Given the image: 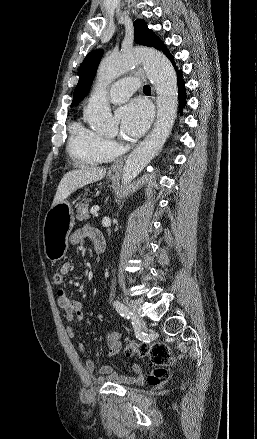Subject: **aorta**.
I'll return each instance as SVG.
<instances>
[{"label":"aorta","instance_id":"762f6f07","mask_svg":"<svg viewBox=\"0 0 257 439\" xmlns=\"http://www.w3.org/2000/svg\"><path fill=\"white\" fill-rule=\"evenodd\" d=\"M138 63L144 65L157 93V116L151 133L127 158L122 183L131 182L157 155L168 138L177 116L178 88L175 70L169 59L153 48H135L105 57L99 66L96 83L84 117L91 128L102 135L117 132V124L107 101L109 84Z\"/></svg>","mask_w":257,"mask_h":439}]
</instances>
